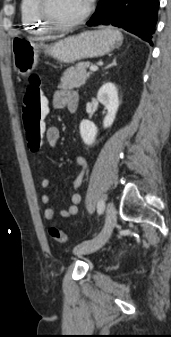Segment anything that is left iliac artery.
<instances>
[{
	"instance_id": "44dca946",
	"label": "left iliac artery",
	"mask_w": 171,
	"mask_h": 337,
	"mask_svg": "<svg viewBox=\"0 0 171 337\" xmlns=\"http://www.w3.org/2000/svg\"><path fill=\"white\" fill-rule=\"evenodd\" d=\"M104 207H105L104 201H103V200H100V201L98 202L97 212H98L99 214H102L103 211H104Z\"/></svg>"
}]
</instances>
